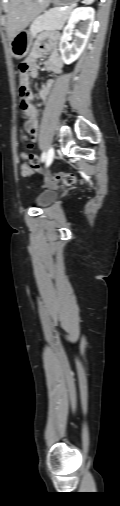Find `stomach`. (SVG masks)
Returning <instances> with one entry per match:
<instances>
[{
	"mask_svg": "<svg viewBox=\"0 0 120 506\" xmlns=\"http://www.w3.org/2000/svg\"><path fill=\"white\" fill-rule=\"evenodd\" d=\"M79 0H51V2L55 6H61V7H72L74 6ZM33 35L30 31L22 30L19 32L11 41H10V47L12 50V55L16 59H22L24 58L32 45Z\"/></svg>",
	"mask_w": 120,
	"mask_h": 506,
	"instance_id": "obj_1",
	"label": "stomach"
}]
</instances>
